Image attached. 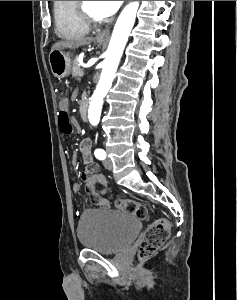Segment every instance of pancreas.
<instances>
[{
  "mask_svg": "<svg viewBox=\"0 0 237 300\" xmlns=\"http://www.w3.org/2000/svg\"><path fill=\"white\" fill-rule=\"evenodd\" d=\"M78 68H80L79 67L78 57H75V59L73 61V67H72V73H73L74 77H80V76H78V73H80L78 71Z\"/></svg>",
  "mask_w": 237,
  "mask_h": 300,
  "instance_id": "pancreas-1",
  "label": "pancreas"
}]
</instances>
